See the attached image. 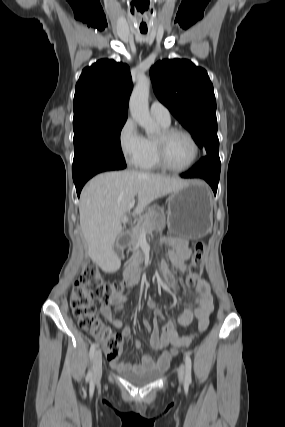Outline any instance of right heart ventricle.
I'll list each match as a JSON object with an SVG mask.
<instances>
[{
    "mask_svg": "<svg viewBox=\"0 0 285 427\" xmlns=\"http://www.w3.org/2000/svg\"><path fill=\"white\" fill-rule=\"evenodd\" d=\"M159 124L163 129L170 126V124H165L162 122H159ZM136 166L142 170H149V171L157 170L161 167L157 158L154 138H149V137L145 138V149L139 161L137 162Z\"/></svg>",
    "mask_w": 285,
    "mask_h": 427,
    "instance_id": "e07e8e85",
    "label": "right heart ventricle"
}]
</instances>
